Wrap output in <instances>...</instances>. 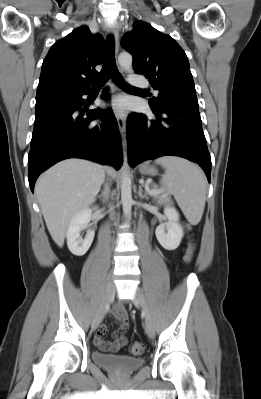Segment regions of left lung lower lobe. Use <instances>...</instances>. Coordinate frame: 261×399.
Returning <instances> with one entry per match:
<instances>
[{"label": "left lung lower lobe", "mask_w": 261, "mask_h": 399, "mask_svg": "<svg viewBox=\"0 0 261 399\" xmlns=\"http://www.w3.org/2000/svg\"><path fill=\"white\" fill-rule=\"evenodd\" d=\"M152 111L155 119L141 113L127 119L130 166L161 156H179L198 163L210 182L211 158L198 105L180 102Z\"/></svg>", "instance_id": "left-lung-lower-lobe-1"}]
</instances>
